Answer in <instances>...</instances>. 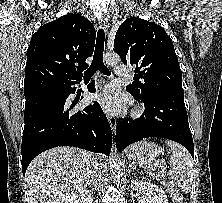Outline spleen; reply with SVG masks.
I'll use <instances>...</instances> for the list:
<instances>
[{
  "mask_svg": "<svg viewBox=\"0 0 222 203\" xmlns=\"http://www.w3.org/2000/svg\"><path fill=\"white\" fill-rule=\"evenodd\" d=\"M166 144L172 150L170 158L172 168L168 174L183 192H188L195 176L192 157L182 145L170 140H167Z\"/></svg>",
  "mask_w": 222,
  "mask_h": 203,
  "instance_id": "3e777b00",
  "label": "spleen"
}]
</instances>
